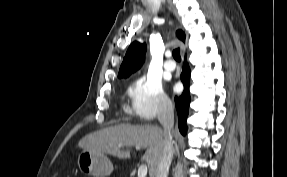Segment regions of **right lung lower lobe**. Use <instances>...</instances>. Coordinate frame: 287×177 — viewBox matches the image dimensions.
<instances>
[{
	"mask_svg": "<svg viewBox=\"0 0 287 177\" xmlns=\"http://www.w3.org/2000/svg\"><path fill=\"white\" fill-rule=\"evenodd\" d=\"M190 68L186 62L183 64L181 81L184 85V91L181 96L175 97V104L178 114L179 130L185 135L187 131L186 120L189 113L190 93H189Z\"/></svg>",
	"mask_w": 287,
	"mask_h": 177,
	"instance_id": "obj_1",
	"label": "right lung lower lobe"
}]
</instances>
